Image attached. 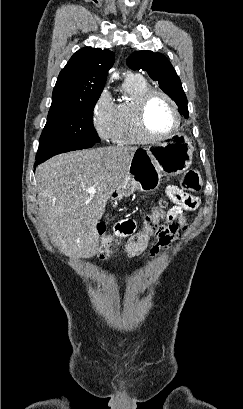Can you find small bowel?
<instances>
[{
  "instance_id": "small-bowel-1",
  "label": "small bowel",
  "mask_w": 243,
  "mask_h": 409,
  "mask_svg": "<svg viewBox=\"0 0 243 409\" xmlns=\"http://www.w3.org/2000/svg\"><path fill=\"white\" fill-rule=\"evenodd\" d=\"M166 193L175 205L168 211L163 222V225L167 228V233L162 237H158L149 248V254L152 257L156 256L161 250L169 248L171 243L180 237L181 231L187 227L186 211L195 210L198 206L196 196L186 194L176 186H168Z\"/></svg>"
}]
</instances>
